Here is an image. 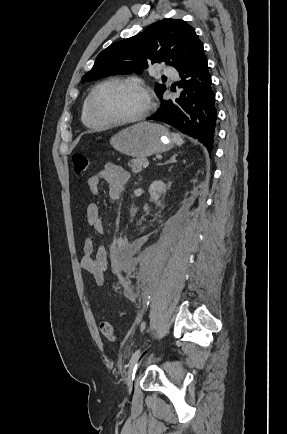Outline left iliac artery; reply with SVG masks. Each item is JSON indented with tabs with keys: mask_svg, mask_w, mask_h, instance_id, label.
Segmentation results:
<instances>
[{
	"mask_svg": "<svg viewBox=\"0 0 287 434\" xmlns=\"http://www.w3.org/2000/svg\"><path fill=\"white\" fill-rule=\"evenodd\" d=\"M148 304H149V301H148V302L145 301V306H148ZM140 355H141V349H138V350H136V351L133 353V355H132V357H131V359H130V367L133 368V372L136 371V368H137V364H138V362H139Z\"/></svg>",
	"mask_w": 287,
	"mask_h": 434,
	"instance_id": "obj_1",
	"label": "left iliac artery"
}]
</instances>
